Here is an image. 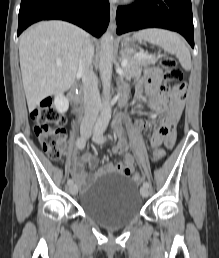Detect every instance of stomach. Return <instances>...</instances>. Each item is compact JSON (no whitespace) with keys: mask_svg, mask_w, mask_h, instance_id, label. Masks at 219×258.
Returning a JSON list of instances; mask_svg holds the SVG:
<instances>
[{"mask_svg":"<svg viewBox=\"0 0 219 258\" xmlns=\"http://www.w3.org/2000/svg\"><path fill=\"white\" fill-rule=\"evenodd\" d=\"M123 52L127 56H132L135 52L134 41L130 38H125L122 42Z\"/></svg>","mask_w":219,"mask_h":258,"instance_id":"0dacf381","label":"stomach"}]
</instances>
